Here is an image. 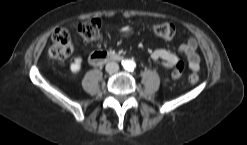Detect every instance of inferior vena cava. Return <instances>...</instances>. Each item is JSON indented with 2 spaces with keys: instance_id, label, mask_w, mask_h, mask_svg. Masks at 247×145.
<instances>
[{
  "instance_id": "1",
  "label": "inferior vena cava",
  "mask_w": 247,
  "mask_h": 145,
  "mask_svg": "<svg viewBox=\"0 0 247 145\" xmlns=\"http://www.w3.org/2000/svg\"><path fill=\"white\" fill-rule=\"evenodd\" d=\"M106 71L110 74L115 73L119 70V65L116 62H108L106 64Z\"/></svg>"
}]
</instances>
